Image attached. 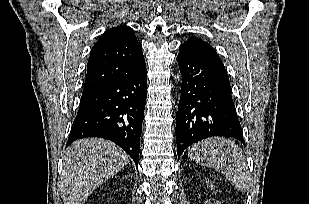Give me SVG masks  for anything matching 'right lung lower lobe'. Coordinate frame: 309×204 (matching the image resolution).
<instances>
[{
    "instance_id": "right-lung-lower-lobe-1",
    "label": "right lung lower lobe",
    "mask_w": 309,
    "mask_h": 204,
    "mask_svg": "<svg viewBox=\"0 0 309 204\" xmlns=\"http://www.w3.org/2000/svg\"><path fill=\"white\" fill-rule=\"evenodd\" d=\"M146 96V66L136 73L83 92L67 145L85 137L109 139L138 165Z\"/></svg>"
}]
</instances>
